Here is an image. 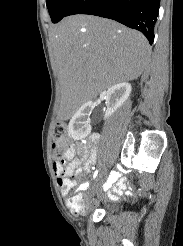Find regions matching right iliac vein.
Segmentation results:
<instances>
[{
	"label": "right iliac vein",
	"instance_id": "63e3f726",
	"mask_svg": "<svg viewBox=\"0 0 183 246\" xmlns=\"http://www.w3.org/2000/svg\"><path fill=\"white\" fill-rule=\"evenodd\" d=\"M99 186V180L97 179L92 187V192L95 193Z\"/></svg>",
	"mask_w": 183,
	"mask_h": 246
}]
</instances>
